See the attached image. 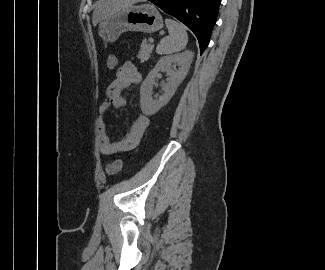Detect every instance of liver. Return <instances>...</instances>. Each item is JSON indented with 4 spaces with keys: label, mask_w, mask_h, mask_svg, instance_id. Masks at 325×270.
<instances>
[{
    "label": "liver",
    "mask_w": 325,
    "mask_h": 270,
    "mask_svg": "<svg viewBox=\"0 0 325 270\" xmlns=\"http://www.w3.org/2000/svg\"><path fill=\"white\" fill-rule=\"evenodd\" d=\"M132 3L131 0H99L92 14L93 25L96 26L102 19L120 9L130 7Z\"/></svg>",
    "instance_id": "6515ba94"
}]
</instances>
